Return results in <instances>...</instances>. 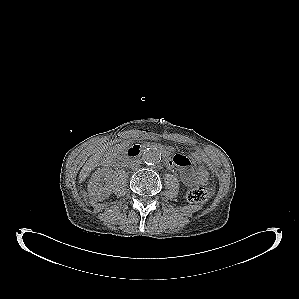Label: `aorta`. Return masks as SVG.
I'll return each mask as SVG.
<instances>
[{
    "label": "aorta",
    "mask_w": 299,
    "mask_h": 299,
    "mask_svg": "<svg viewBox=\"0 0 299 299\" xmlns=\"http://www.w3.org/2000/svg\"><path fill=\"white\" fill-rule=\"evenodd\" d=\"M162 153L154 146L147 147L143 152V160L149 165H156L161 161Z\"/></svg>",
    "instance_id": "aorta-1"
}]
</instances>
